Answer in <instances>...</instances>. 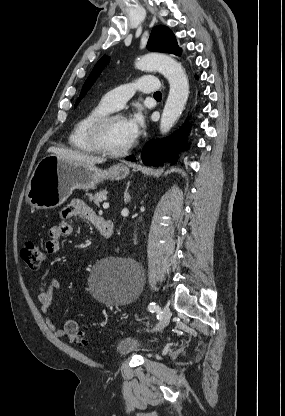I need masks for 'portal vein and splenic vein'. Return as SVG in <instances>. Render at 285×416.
<instances>
[{
	"label": "portal vein and splenic vein",
	"mask_w": 285,
	"mask_h": 416,
	"mask_svg": "<svg viewBox=\"0 0 285 416\" xmlns=\"http://www.w3.org/2000/svg\"><path fill=\"white\" fill-rule=\"evenodd\" d=\"M103 208H109V204H108V202H104V204H103Z\"/></svg>",
	"instance_id": "portal-vein-and-splenic-vein-1"
}]
</instances>
